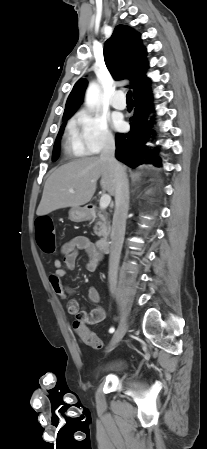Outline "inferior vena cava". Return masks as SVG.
<instances>
[{"label":"inferior vena cava","instance_id":"602c4592","mask_svg":"<svg viewBox=\"0 0 207 449\" xmlns=\"http://www.w3.org/2000/svg\"><path fill=\"white\" fill-rule=\"evenodd\" d=\"M100 159L108 162L114 172L116 181V208L112 222L108 272L110 291L114 293L117 285L119 259L124 241L126 217L129 208V182L125 169L115 158V141L113 137L106 138Z\"/></svg>","mask_w":207,"mask_h":449}]
</instances>
